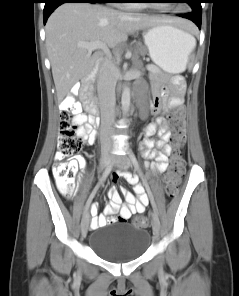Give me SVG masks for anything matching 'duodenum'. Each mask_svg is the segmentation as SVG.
I'll list each match as a JSON object with an SVG mask.
<instances>
[{
	"label": "duodenum",
	"instance_id": "obj_1",
	"mask_svg": "<svg viewBox=\"0 0 239 296\" xmlns=\"http://www.w3.org/2000/svg\"><path fill=\"white\" fill-rule=\"evenodd\" d=\"M98 71V65H96L90 72V74L79 83L78 88L82 91V102L85 109L90 113L91 123L93 127H98L99 120V107L92 95V86L95 81Z\"/></svg>",
	"mask_w": 239,
	"mask_h": 296
}]
</instances>
